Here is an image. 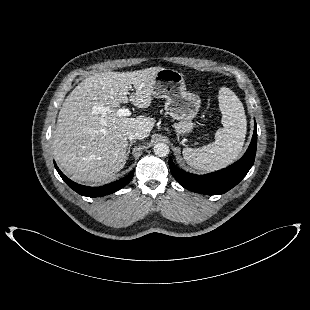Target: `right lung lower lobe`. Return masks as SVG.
I'll list each match as a JSON object with an SVG mask.
<instances>
[{
  "mask_svg": "<svg viewBox=\"0 0 310 310\" xmlns=\"http://www.w3.org/2000/svg\"><path fill=\"white\" fill-rule=\"evenodd\" d=\"M55 168L58 171L59 175L61 176V178L66 182V184L71 187L74 191H76L77 193H79L80 195L83 196H87V197H101V196H105L111 193H114L118 190H120L121 188H123L126 184H128L130 182V180L133 177L134 174V170L128 174L126 177L112 182L110 184L101 186V187H88V186H83L80 184H77L75 182H73L72 180H70L69 178H67L57 167L56 163L54 162Z\"/></svg>",
  "mask_w": 310,
  "mask_h": 310,
  "instance_id": "obj_1",
  "label": "right lung lower lobe"
}]
</instances>
